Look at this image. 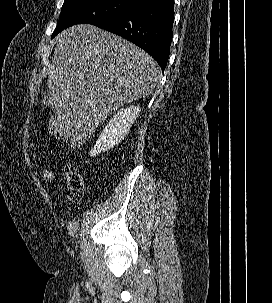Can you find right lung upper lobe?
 Here are the masks:
<instances>
[{
    "label": "right lung upper lobe",
    "instance_id": "cb5924a9",
    "mask_svg": "<svg viewBox=\"0 0 272 303\" xmlns=\"http://www.w3.org/2000/svg\"><path fill=\"white\" fill-rule=\"evenodd\" d=\"M131 1L136 2L137 5L140 6V5H143V4L147 3V2H152L154 0H131Z\"/></svg>",
    "mask_w": 272,
    "mask_h": 303
}]
</instances>
